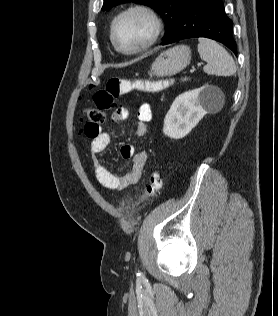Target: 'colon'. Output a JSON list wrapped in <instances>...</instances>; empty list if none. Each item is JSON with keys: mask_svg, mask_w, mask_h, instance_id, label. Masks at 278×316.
Returning a JSON list of instances; mask_svg holds the SVG:
<instances>
[{"mask_svg": "<svg viewBox=\"0 0 278 316\" xmlns=\"http://www.w3.org/2000/svg\"><path fill=\"white\" fill-rule=\"evenodd\" d=\"M164 83L150 80H128L111 77L105 86L96 91L93 96L94 108H86L82 111L81 120L85 123L83 132L93 136L99 132L100 124L106 119V111L116 105L119 96L127 94L132 90L144 92H156L162 89ZM162 188V179L157 171L150 174L145 190L141 195V201H148L158 196Z\"/></svg>", "mask_w": 278, "mask_h": 316, "instance_id": "colon-1", "label": "colon"}]
</instances>
